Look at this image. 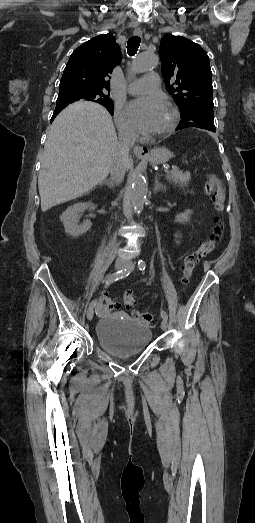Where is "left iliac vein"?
<instances>
[{"label": "left iliac vein", "instance_id": "4c4485c4", "mask_svg": "<svg viewBox=\"0 0 255 523\" xmlns=\"http://www.w3.org/2000/svg\"><path fill=\"white\" fill-rule=\"evenodd\" d=\"M134 263L132 261H128L127 262V265H126V268L129 269V270H134ZM168 327V323H167V320L163 319L162 322H161V328L163 331H165Z\"/></svg>", "mask_w": 255, "mask_h": 523}]
</instances>
